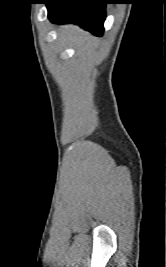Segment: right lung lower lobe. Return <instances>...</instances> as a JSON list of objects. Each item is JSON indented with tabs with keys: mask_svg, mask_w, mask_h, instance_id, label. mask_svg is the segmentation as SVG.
<instances>
[{
	"mask_svg": "<svg viewBox=\"0 0 166 267\" xmlns=\"http://www.w3.org/2000/svg\"><path fill=\"white\" fill-rule=\"evenodd\" d=\"M108 0H49L46 2L48 18L52 23L78 24L94 35L104 31L105 4Z\"/></svg>",
	"mask_w": 166,
	"mask_h": 267,
	"instance_id": "1",
	"label": "right lung lower lobe"
}]
</instances>
